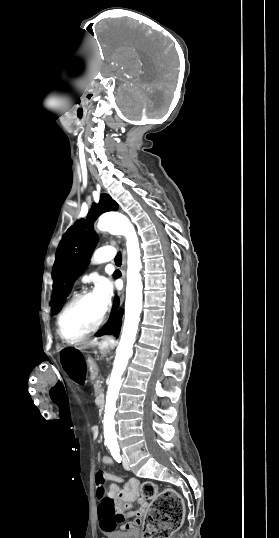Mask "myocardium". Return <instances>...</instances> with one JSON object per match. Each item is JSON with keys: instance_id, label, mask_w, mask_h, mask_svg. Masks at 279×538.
Listing matches in <instances>:
<instances>
[{"instance_id": "f54148a6", "label": "myocardium", "mask_w": 279, "mask_h": 538, "mask_svg": "<svg viewBox=\"0 0 279 538\" xmlns=\"http://www.w3.org/2000/svg\"><path fill=\"white\" fill-rule=\"evenodd\" d=\"M95 230L96 232L98 233H103L105 232V228L104 226L102 225H99V224H96L95 226ZM95 294L93 290H83L81 291L80 293L76 294L65 306L64 308L62 309V311L59 313L58 317H57V321H56V326H57V333L59 335V337L62 339V341H64L65 343L69 344V345H74V344H78L82 341H84L85 339H87L88 337L92 336L94 333H96L99 328L101 327V325L103 324L104 320H105V317H106V312L107 310L104 309L103 312L101 313L100 317L98 318L96 324L89 330L87 331L86 333H84L83 335L79 336L78 338L74 339V340H68L64 337L63 333H62V319L64 317V315L66 314V312L74 305L76 304L77 302H79L80 300L84 299V298H87L91 295Z\"/></svg>"}]
</instances>
